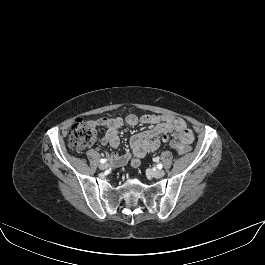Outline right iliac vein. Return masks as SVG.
<instances>
[{"label": "right iliac vein", "instance_id": "obj_1", "mask_svg": "<svg viewBox=\"0 0 265 265\" xmlns=\"http://www.w3.org/2000/svg\"><path fill=\"white\" fill-rule=\"evenodd\" d=\"M107 167H108V164H105V163L99 165V168L101 170H105V169H107Z\"/></svg>", "mask_w": 265, "mask_h": 265}]
</instances>
